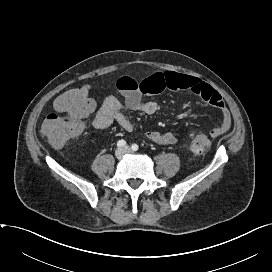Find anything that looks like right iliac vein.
Masks as SVG:
<instances>
[{
  "mask_svg": "<svg viewBox=\"0 0 272 272\" xmlns=\"http://www.w3.org/2000/svg\"><path fill=\"white\" fill-rule=\"evenodd\" d=\"M125 154V150L124 148H118L116 151H115V156L117 159H121Z\"/></svg>",
  "mask_w": 272,
  "mask_h": 272,
  "instance_id": "1",
  "label": "right iliac vein"
}]
</instances>
